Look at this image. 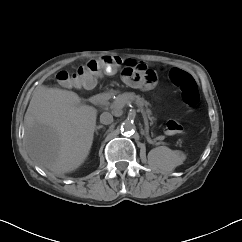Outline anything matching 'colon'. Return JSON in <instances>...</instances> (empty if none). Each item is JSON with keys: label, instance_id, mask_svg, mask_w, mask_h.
Segmentation results:
<instances>
[{"label": "colon", "instance_id": "obj_1", "mask_svg": "<svg viewBox=\"0 0 242 242\" xmlns=\"http://www.w3.org/2000/svg\"><path fill=\"white\" fill-rule=\"evenodd\" d=\"M120 69L133 85L150 86L157 80L156 73L142 63L124 60L115 55H106L92 59L74 70L58 73L57 82L65 87H92L101 72L111 73ZM170 78L173 84L181 89L184 104L188 107L196 106L199 102V91L191 75L180 69H173ZM182 129L181 124L175 120L166 123L168 135L180 134Z\"/></svg>", "mask_w": 242, "mask_h": 242}]
</instances>
